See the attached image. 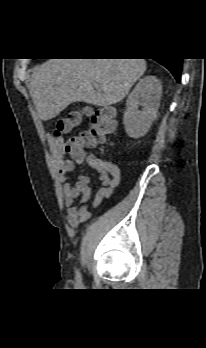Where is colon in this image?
<instances>
[{"label":"colon","mask_w":206,"mask_h":348,"mask_svg":"<svg viewBox=\"0 0 206 348\" xmlns=\"http://www.w3.org/2000/svg\"><path fill=\"white\" fill-rule=\"evenodd\" d=\"M90 116L89 127L80 134L72 136L63 145L64 151L75 159L85 156L90 147L104 142L115 128L114 112L109 107L90 113ZM82 117V113L73 112L58 119L53 133L54 138H60L64 133L78 126Z\"/></svg>","instance_id":"obj_1"}]
</instances>
